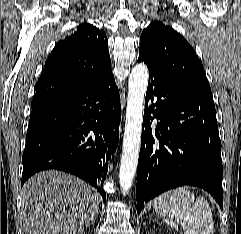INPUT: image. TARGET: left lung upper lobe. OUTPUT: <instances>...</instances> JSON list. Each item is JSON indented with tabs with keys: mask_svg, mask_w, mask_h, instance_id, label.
Instances as JSON below:
<instances>
[{
	"mask_svg": "<svg viewBox=\"0 0 241 234\" xmlns=\"http://www.w3.org/2000/svg\"><path fill=\"white\" fill-rule=\"evenodd\" d=\"M139 58L168 77L211 92L203 65L193 48L183 36L160 21L143 30Z\"/></svg>",
	"mask_w": 241,
	"mask_h": 234,
	"instance_id": "1",
	"label": "left lung upper lobe"
}]
</instances>
